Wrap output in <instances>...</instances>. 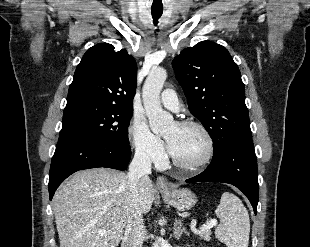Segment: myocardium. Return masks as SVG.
I'll return each instance as SVG.
<instances>
[{
    "instance_id": "myocardium-1",
    "label": "myocardium",
    "mask_w": 310,
    "mask_h": 247,
    "mask_svg": "<svg viewBox=\"0 0 310 247\" xmlns=\"http://www.w3.org/2000/svg\"><path fill=\"white\" fill-rule=\"evenodd\" d=\"M176 125L179 127H183V128L194 127V128H197L199 131H201V133L203 134L206 140V153L200 161L193 163V164L182 163L178 161L177 159H175L170 154L169 157H170L172 164L176 166L177 168L184 170V171H188V172H196V171L201 170L202 168H204L206 165L210 163V161L212 160L214 156L215 145H214V140H213L211 133L202 123L193 121V120L180 121V122H177Z\"/></svg>"
}]
</instances>
